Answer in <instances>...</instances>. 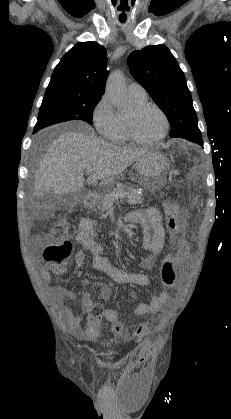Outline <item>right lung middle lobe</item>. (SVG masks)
<instances>
[{"label": "right lung middle lobe", "instance_id": "dd1d6c3e", "mask_svg": "<svg viewBox=\"0 0 231 419\" xmlns=\"http://www.w3.org/2000/svg\"><path fill=\"white\" fill-rule=\"evenodd\" d=\"M100 99L101 96L81 95L66 88L47 89L34 133L49 125L70 120H83L93 124V110Z\"/></svg>", "mask_w": 231, "mask_h": 419}]
</instances>
